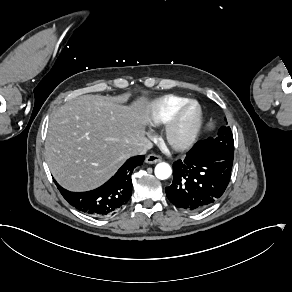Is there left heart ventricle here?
I'll return each mask as SVG.
<instances>
[{
    "mask_svg": "<svg viewBox=\"0 0 292 292\" xmlns=\"http://www.w3.org/2000/svg\"><path fill=\"white\" fill-rule=\"evenodd\" d=\"M191 117H192V110L189 111L182 119L181 123H180V126H179V129H178V133H182L184 132L187 127L189 126L190 124V121H191Z\"/></svg>",
    "mask_w": 292,
    "mask_h": 292,
    "instance_id": "left-heart-ventricle-1",
    "label": "left heart ventricle"
}]
</instances>
